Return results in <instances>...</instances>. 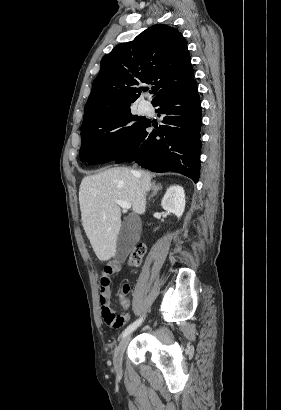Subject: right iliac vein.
Instances as JSON below:
<instances>
[{
	"label": "right iliac vein",
	"mask_w": 281,
	"mask_h": 410,
	"mask_svg": "<svg viewBox=\"0 0 281 410\" xmlns=\"http://www.w3.org/2000/svg\"><path fill=\"white\" fill-rule=\"evenodd\" d=\"M131 339V335H127L119 344L117 347L114 358H113V363L114 367L117 373L122 372V359H123V354L125 352L126 347L129 344V341Z\"/></svg>",
	"instance_id": "obj_1"
}]
</instances>
